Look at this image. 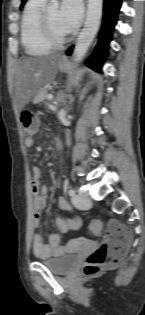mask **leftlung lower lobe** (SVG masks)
<instances>
[{
  "mask_svg": "<svg viewBox=\"0 0 145 315\" xmlns=\"http://www.w3.org/2000/svg\"><path fill=\"white\" fill-rule=\"evenodd\" d=\"M120 6L121 0H104L103 25L99 34V41L93 54L86 61V65L98 72H102L101 66L106 56ZM72 50L73 46L68 49L66 54L70 55Z\"/></svg>",
  "mask_w": 145,
  "mask_h": 315,
  "instance_id": "1",
  "label": "left lung lower lobe"
}]
</instances>
